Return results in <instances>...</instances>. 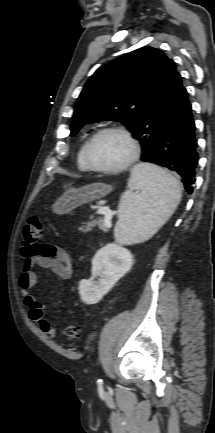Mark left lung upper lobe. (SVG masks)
Instances as JSON below:
<instances>
[{
  "mask_svg": "<svg viewBox=\"0 0 215 433\" xmlns=\"http://www.w3.org/2000/svg\"><path fill=\"white\" fill-rule=\"evenodd\" d=\"M182 87L175 63L163 52L148 46L135 50L90 77L75 105L70 135L85 124L119 121L140 142L142 161H149Z\"/></svg>",
  "mask_w": 215,
  "mask_h": 433,
  "instance_id": "5c2ea615",
  "label": "left lung upper lobe"
}]
</instances>
